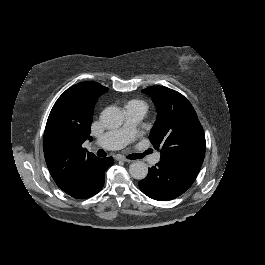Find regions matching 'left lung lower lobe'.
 <instances>
[{"label":"left lung lower lobe","instance_id":"0a47b994","mask_svg":"<svg viewBox=\"0 0 265 265\" xmlns=\"http://www.w3.org/2000/svg\"><path fill=\"white\" fill-rule=\"evenodd\" d=\"M201 166L180 164L160 160L149 168V173L139 181L140 190L148 197L159 200H172L184 193L195 181Z\"/></svg>","mask_w":265,"mask_h":265}]
</instances>
